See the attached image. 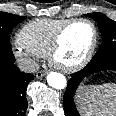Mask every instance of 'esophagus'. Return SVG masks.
Instances as JSON below:
<instances>
[{
    "label": "esophagus",
    "mask_w": 116,
    "mask_h": 116,
    "mask_svg": "<svg viewBox=\"0 0 116 116\" xmlns=\"http://www.w3.org/2000/svg\"><path fill=\"white\" fill-rule=\"evenodd\" d=\"M47 74V70H41L36 73L37 78H41Z\"/></svg>",
    "instance_id": "1"
}]
</instances>
